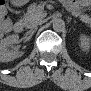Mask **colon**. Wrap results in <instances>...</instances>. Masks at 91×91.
Masks as SVG:
<instances>
[{
    "instance_id": "obj_1",
    "label": "colon",
    "mask_w": 91,
    "mask_h": 91,
    "mask_svg": "<svg viewBox=\"0 0 91 91\" xmlns=\"http://www.w3.org/2000/svg\"><path fill=\"white\" fill-rule=\"evenodd\" d=\"M4 6L0 7V16H1V28L4 32H7L10 28L9 20L7 19L6 10H4Z\"/></svg>"
}]
</instances>
